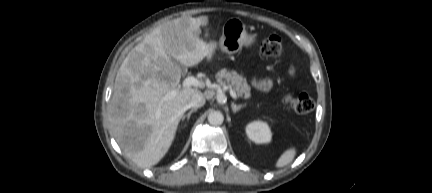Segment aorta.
<instances>
[{"mask_svg": "<svg viewBox=\"0 0 432 193\" xmlns=\"http://www.w3.org/2000/svg\"><path fill=\"white\" fill-rule=\"evenodd\" d=\"M224 121V116L220 111H212L208 115V122L211 125L218 126Z\"/></svg>", "mask_w": 432, "mask_h": 193, "instance_id": "obj_1", "label": "aorta"}]
</instances>
